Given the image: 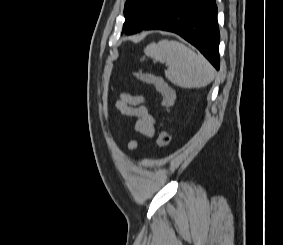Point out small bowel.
Listing matches in <instances>:
<instances>
[{"label":"small bowel","mask_w":283,"mask_h":245,"mask_svg":"<svg viewBox=\"0 0 283 245\" xmlns=\"http://www.w3.org/2000/svg\"><path fill=\"white\" fill-rule=\"evenodd\" d=\"M117 110L123 115L135 117V130L146 138H152L155 134L156 119L146 105L143 96L124 93L116 102ZM138 146L137 140H131L127 147L134 150Z\"/></svg>","instance_id":"small-bowel-1"}]
</instances>
